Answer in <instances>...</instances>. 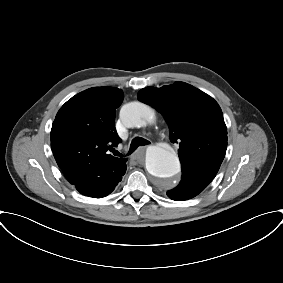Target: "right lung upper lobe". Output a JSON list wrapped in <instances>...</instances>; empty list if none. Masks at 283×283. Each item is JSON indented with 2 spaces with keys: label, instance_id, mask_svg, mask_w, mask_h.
I'll use <instances>...</instances> for the list:
<instances>
[{
  "label": "right lung upper lobe",
  "instance_id": "right-lung-upper-lobe-1",
  "mask_svg": "<svg viewBox=\"0 0 283 283\" xmlns=\"http://www.w3.org/2000/svg\"><path fill=\"white\" fill-rule=\"evenodd\" d=\"M123 98L121 89L93 87L69 99L58 111L51 129V148L71 184L97 175L102 166L126 164L125 159L109 154L121 142L115 110Z\"/></svg>",
  "mask_w": 283,
  "mask_h": 283
}]
</instances>
